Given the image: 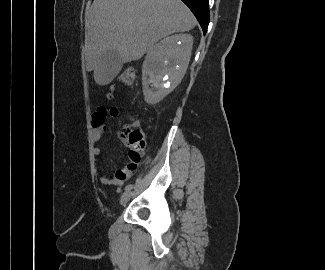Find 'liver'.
Masks as SVG:
<instances>
[{"label": "liver", "instance_id": "liver-1", "mask_svg": "<svg viewBox=\"0 0 325 270\" xmlns=\"http://www.w3.org/2000/svg\"><path fill=\"white\" fill-rule=\"evenodd\" d=\"M195 25L181 0H94L85 12L87 70L97 84H108L112 80L97 72L105 52L116 51L123 63L136 61L162 38Z\"/></svg>", "mask_w": 325, "mask_h": 270}]
</instances>
